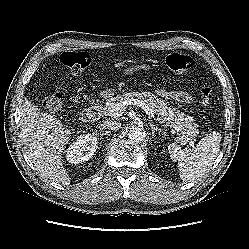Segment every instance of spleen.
Returning <instances> with one entry per match:
<instances>
[{
  "mask_svg": "<svg viewBox=\"0 0 249 249\" xmlns=\"http://www.w3.org/2000/svg\"><path fill=\"white\" fill-rule=\"evenodd\" d=\"M221 141L219 132H212L203 137L193 149L181 147L175 143L168 145L173 161L178 162L180 178L193 181L202 177L217 157Z\"/></svg>",
  "mask_w": 249,
  "mask_h": 249,
  "instance_id": "1",
  "label": "spleen"
}]
</instances>
